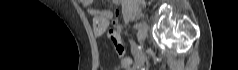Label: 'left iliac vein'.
I'll return each mask as SVG.
<instances>
[{
    "mask_svg": "<svg viewBox=\"0 0 238 70\" xmlns=\"http://www.w3.org/2000/svg\"><path fill=\"white\" fill-rule=\"evenodd\" d=\"M147 33H148V25L146 22H142L140 29L138 31V41L139 43H143L144 40L147 37Z\"/></svg>",
    "mask_w": 238,
    "mask_h": 70,
    "instance_id": "left-iliac-vein-1",
    "label": "left iliac vein"
}]
</instances>
